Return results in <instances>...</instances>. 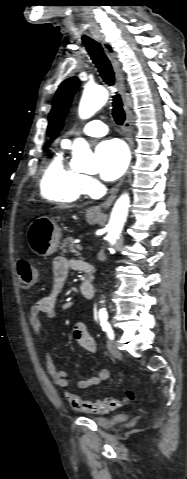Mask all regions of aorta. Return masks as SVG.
<instances>
[{"instance_id":"762f6f07","label":"aorta","mask_w":187,"mask_h":479,"mask_svg":"<svg viewBox=\"0 0 187 479\" xmlns=\"http://www.w3.org/2000/svg\"><path fill=\"white\" fill-rule=\"evenodd\" d=\"M108 100V92L101 86H87L79 104V116L81 119H88L95 114ZM73 161L77 165V170L95 174L100 171L99 160L93 156L88 143L83 138H78L73 143ZM130 207V198L127 193L122 194L116 201L108 224L107 239L111 245L116 243L123 226L126 222L128 210ZM100 314H105V308L100 309Z\"/></svg>"}]
</instances>
